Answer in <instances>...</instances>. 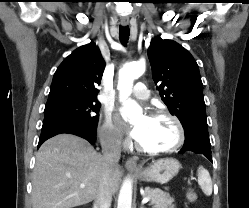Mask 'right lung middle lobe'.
<instances>
[{"instance_id":"right-lung-middle-lobe-1","label":"right lung middle lobe","mask_w":249,"mask_h":208,"mask_svg":"<svg viewBox=\"0 0 249 208\" xmlns=\"http://www.w3.org/2000/svg\"><path fill=\"white\" fill-rule=\"evenodd\" d=\"M100 107L97 99L59 104L45 107L44 119L55 118L97 127Z\"/></svg>"}]
</instances>
